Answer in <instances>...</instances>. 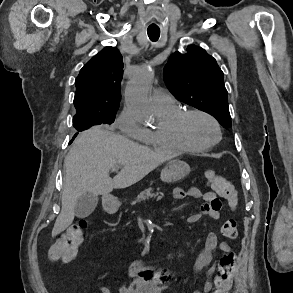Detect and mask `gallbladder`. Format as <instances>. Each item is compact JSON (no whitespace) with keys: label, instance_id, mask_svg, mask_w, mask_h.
Here are the masks:
<instances>
[{"label":"gallbladder","instance_id":"gallbladder-1","mask_svg":"<svg viewBox=\"0 0 293 293\" xmlns=\"http://www.w3.org/2000/svg\"><path fill=\"white\" fill-rule=\"evenodd\" d=\"M98 204V196L85 193L80 196L75 205V215L78 218L88 217Z\"/></svg>","mask_w":293,"mask_h":293}]
</instances>
